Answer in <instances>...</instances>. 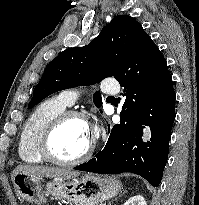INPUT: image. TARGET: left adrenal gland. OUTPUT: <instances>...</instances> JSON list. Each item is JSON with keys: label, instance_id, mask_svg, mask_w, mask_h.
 Instances as JSON below:
<instances>
[{"label": "left adrenal gland", "instance_id": "a2214340", "mask_svg": "<svg viewBox=\"0 0 199 205\" xmlns=\"http://www.w3.org/2000/svg\"><path fill=\"white\" fill-rule=\"evenodd\" d=\"M125 193H127V191L125 190V191H123V193L120 195V196H122L123 194H125ZM109 205H111V204H109Z\"/></svg>", "mask_w": 199, "mask_h": 205}]
</instances>
